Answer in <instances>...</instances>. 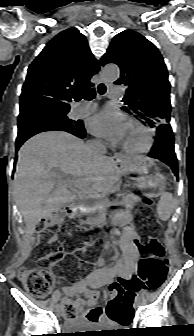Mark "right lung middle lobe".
<instances>
[{
    "label": "right lung middle lobe",
    "mask_w": 194,
    "mask_h": 336,
    "mask_svg": "<svg viewBox=\"0 0 194 336\" xmlns=\"http://www.w3.org/2000/svg\"><path fill=\"white\" fill-rule=\"evenodd\" d=\"M70 109H42L18 118V135L46 129H73L81 121L69 118Z\"/></svg>",
    "instance_id": "dd1d6c3e"
}]
</instances>
